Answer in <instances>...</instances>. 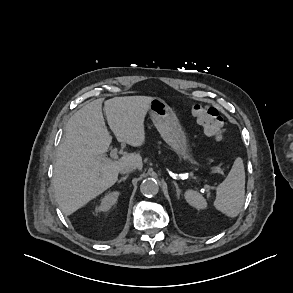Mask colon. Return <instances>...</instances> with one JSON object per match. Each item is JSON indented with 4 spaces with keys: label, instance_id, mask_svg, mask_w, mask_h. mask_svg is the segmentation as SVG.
<instances>
[{
    "label": "colon",
    "instance_id": "5ec220e1",
    "mask_svg": "<svg viewBox=\"0 0 293 293\" xmlns=\"http://www.w3.org/2000/svg\"><path fill=\"white\" fill-rule=\"evenodd\" d=\"M191 112L207 136L220 141L224 137V121L219 111L208 104H194Z\"/></svg>",
    "mask_w": 293,
    "mask_h": 293
}]
</instances>
